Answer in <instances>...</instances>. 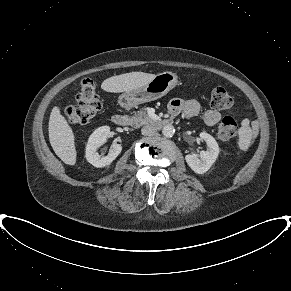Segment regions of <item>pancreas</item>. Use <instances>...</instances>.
I'll use <instances>...</instances> for the list:
<instances>
[{"instance_id":"cf45deb5","label":"pancreas","mask_w":291,"mask_h":291,"mask_svg":"<svg viewBox=\"0 0 291 291\" xmlns=\"http://www.w3.org/2000/svg\"><path fill=\"white\" fill-rule=\"evenodd\" d=\"M152 119L148 116L145 110H140L132 117H130V124L131 126L138 128L142 125L151 123Z\"/></svg>"}]
</instances>
